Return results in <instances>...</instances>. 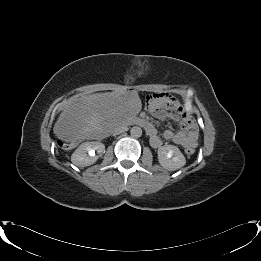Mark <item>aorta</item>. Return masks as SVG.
<instances>
[{"label": "aorta", "instance_id": "1", "mask_svg": "<svg viewBox=\"0 0 261 261\" xmlns=\"http://www.w3.org/2000/svg\"><path fill=\"white\" fill-rule=\"evenodd\" d=\"M130 134L134 138H139L142 136V129L139 126H134L131 128Z\"/></svg>", "mask_w": 261, "mask_h": 261}]
</instances>
